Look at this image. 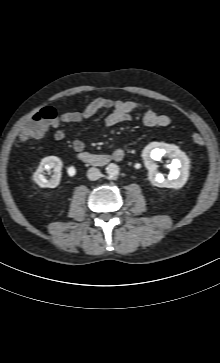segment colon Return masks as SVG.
Wrapping results in <instances>:
<instances>
[{
    "label": "colon",
    "instance_id": "1",
    "mask_svg": "<svg viewBox=\"0 0 220 363\" xmlns=\"http://www.w3.org/2000/svg\"><path fill=\"white\" fill-rule=\"evenodd\" d=\"M57 118L58 112L53 106L42 107L22 127L20 137L23 140H33L42 137ZM191 139L196 145L204 144V138L200 134H193Z\"/></svg>",
    "mask_w": 220,
    "mask_h": 363
}]
</instances>
